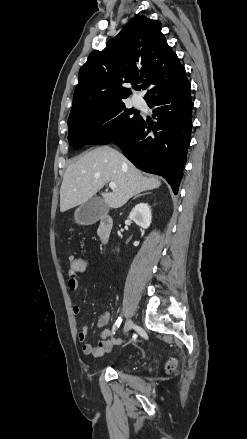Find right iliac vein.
I'll return each instance as SVG.
<instances>
[{
    "mask_svg": "<svg viewBox=\"0 0 247 439\" xmlns=\"http://www.w3.org/2000/svg\"><path fill=\"white\" fill-rule=\"evenodd\" d=\"M132 324H133L132 320L128 318L124 325V333H127L131 329Z\"/></svg>",
    "mask_w": 247,
    "mask_h": 439,
    "instance_id": "1",
    "label": "right iliac vein"
}]
</instances>
